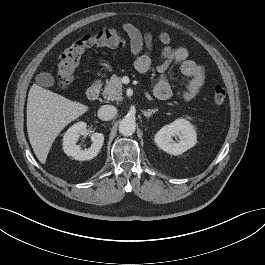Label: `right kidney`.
Returning a JSON list of instances; mask_svg holds the SVG:
<instances>
[{
  "label": "right kidney",
  "instance_id": "ca27d5eb",
  "mask_svg": "<svg viewBox=\"0 0 265 265\" xmlns=\"http://www.w3.org/2000/svg\"><path fill=\"white\" fill-rule=\"evenodd\" d=\"M81 135H87V126L85 122H78L66 131L63 138V150L65 154L72 156L75 160H90L99 153L104 142V135L98 132L93 133L91 135V141L93 143L91 147L86 150H82L76 145Z\"/></svg>",
  "mask_w": 265,
  "mask_h": 265
}]
</instances>
